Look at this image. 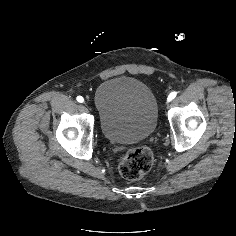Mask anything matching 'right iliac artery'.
Returning <instances> with one entry per match:
<instances>
[{"label":"right iliac artery","instance_id":"obj_1","mask_svg":"<svg viewBox=\"0 0 236 236\" xmlns=\"http://www.w3.org/2000/svg\"><path fill=\"white\" fill-rule=\"evenodd\" d=\"M76 100L79 102V103H83L84 102V98L82 96H77Z\"/></svg>","mask_w":236,"mask_h":236}]
</instances>
